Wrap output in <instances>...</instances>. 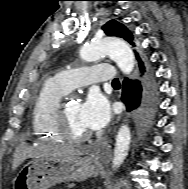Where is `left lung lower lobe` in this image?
<instances>
[{
  "instance_id": "1",
  "label": "left lung lower lobe",
  "mask_w": 188,
  "mask_h": 189,
  "mask_svg": "<svg viewBox=\"0 0 188 189\" xmlns=\"http://www.w3.org/2000/svg\"><path fill=\"white\" fill-rule=\"evenodd\" d=\"M142 73L141 80L125 79L122 86V101L126 104L127 111L137 109L140 103L143 106L138 110V116L142 120L152 114L158 103V87L151 69L139 60Z\"/></svg>"
}]
</instances>
